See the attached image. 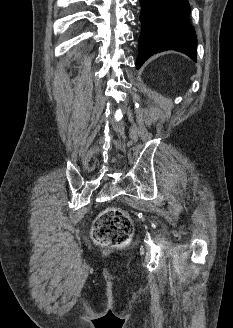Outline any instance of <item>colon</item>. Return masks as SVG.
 I'll return each instance as SVG.
<instances>
[{
    "mask_svg": "<svg viewBox=\"0 0 233 328\" xmlns=\"http://www.w3.org/2000/svg\"><path fill=\"white\" fill-rule=\"evenodd\" d=\"M133 234L129 215L115 207L100 213L93 226V239L101 246L115 247L127 243Z\"/></svg>",
    "mask_w": 233,
    "mask_h": 328,
    "instance_id": "5ec220e1",
    "label": "colon"
}]
</instances>
